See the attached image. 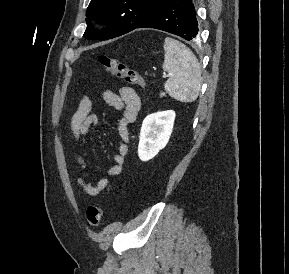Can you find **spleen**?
Wrapping results in <instances>:
<instances>
[{
    "label": "spleen",
    "mask_w": 289,
    "mask_h": 274,
    "mask_svg": "<svg viewBox=\"0 0 289 274\" xmlns=\"http://www.w3.org/2000/svg\"><path fill=\"white\" fill-rule=\"evenodd\" d=\"M164 63L170 78L164 84L166 92L180 102H192L201 88V67L193 52L183 43L166 37Z\"/></svg>",
    "instance_id": "3e777b00"
}]
</instances>
